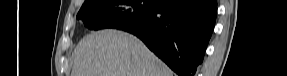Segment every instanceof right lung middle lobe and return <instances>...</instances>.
<instances>
[{"mask_svg":"<svg viewBox=\"0 0 287 76\" xmlns=\"http://www.w3.org/2000/svg\"><path fill=\"white\" fill-rule=\"evenodd\" d=\"M156 0H89L77 14L91 30L123 28L145 20L154 10Z\"/></svg>","mask_w":287,"mask_h":76,"instance_id":"dd1d6c3e","label":"right lung middle lobe"}]
</instances>
